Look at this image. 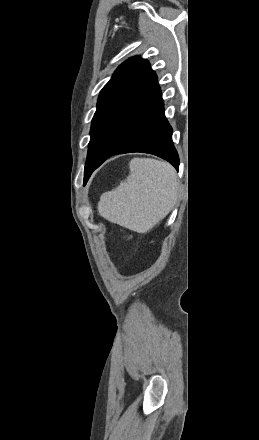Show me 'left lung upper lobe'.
<instances>
[{
  "label": "left lung upper lobe",
  "instance_id": "left-lung-upper-lobe-1",
  "mask_svg": "<svg viewBox=\"0 0 259 440\" xmlns=\"http://www.w3.org/2000/svg\"><path fill=\"white\" fill-rule=\"evenodd\" d=\"M154 75L149 62L135 56L122 63L101 90L90 130L85 182L117 126L149 86Z\"/></svg>",
  "mask_w": 259,
  "mask_h": 440
}]
</instances>
